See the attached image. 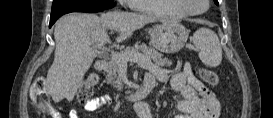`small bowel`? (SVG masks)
Masks as SVG:
<instances>
[{
  "mask_svg": "<svg viewBox=\"0 0 273 118\" xmlns=\"http://www.w3.org/2000/svg\"><path fill=\"white\" fill-rule=\"evenodd\" d=\"M144 79L154 82L155 80L169 81L172 89L181 95L176 106L175 118H219L218 98L195 77L188 64H183L180 70L174 71L170 75L166 70L153 66ZM110 102L109 96L93 97L84 104V110L93 112ZM136 111L140 118H152L149 109L144 104H137ZM78 116L77 109H72L69 113L70 118H78Z\"/></svg>",
  "mask_w": 273,
  "mask_h": 118,
  "instance_id": "c3829d8e",
  "label": "small bowel"
}]
</instances>
